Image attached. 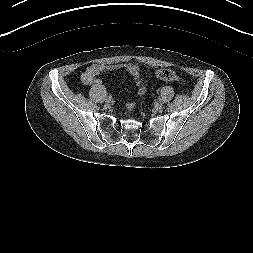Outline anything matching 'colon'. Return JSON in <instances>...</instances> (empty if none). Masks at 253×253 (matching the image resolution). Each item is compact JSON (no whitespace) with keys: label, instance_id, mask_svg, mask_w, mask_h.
I'll use <instances>...</instances> for the list:
<instances>
[{"label":"colon","instance_id":"obj_1","mask_svg":"<svg viewBox=\"0 0 253 253\" xmlns=\"http://www.w3.org/2000/svg\"><path fill=\"white\" fill-rule=\"evenodd\" d=\"M155 75L165 81H176L181 85L185 84V81L179 77L174 71L170 69H160L155 71ZM138 90H137V96H141L144 93V86L141 82H138ZM133 108V104H130L129 109L131 110Z\"/></svg>","mask_w":253,"mask_h":253}]
</instances>
